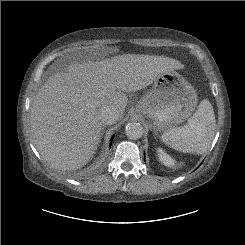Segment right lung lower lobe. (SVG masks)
<instances>
[{"instance_id": "right-lung-lower-lobe-1", "label": "right lung lower lobe", "mask_w": 245, "mask_h": 245, "mask_svg": "<svg viewBox=\"0 0 245 245\" xmlns=\"http://www.w3.org/2000/svg\"><path fill=\"white\" fill-rule=\"evenodd\" d=\"M113 138H114V136L111 138V141H110V143H112V140H113Z\"/></svg>"}]
</instances>
